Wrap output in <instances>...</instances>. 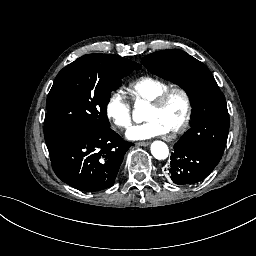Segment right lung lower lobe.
I'll return each mask as SVG.
<instances>
[{
    "mask_svg": "<svg viewBox=\"0 0 256 256\" xmlns=\"http://www.w3.org/2000/svg\"><path fill=\"white\" fill-rule=\"evenodd\" d=\"M46 144L55 174L81 191L111 187L125 152L133 145L111 129L78 138L60 137Z\"/></svg>",
    "mask_w": 256,
    "mask_h": 256,
    "instance_id": "right-lung-lower-lobe-1",
    "label": "right lung lower lobe"
}]
</instances>
